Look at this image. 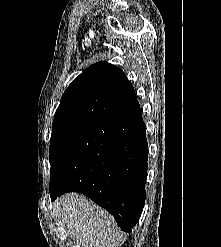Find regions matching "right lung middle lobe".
Wrapping results in <instances>:
<instances>
[{"instance_id":"right-lung-middle-lobe-1","label":"right lung middle lobe","mask_w":221,"mask_h":247,"mask_svg":"<svg viewBox=\"0 0 221 247\" xmlns=\"http://www.w3.org/2000/svg\"><path fill=\"white\" fill-rule=\"evenodd\" d=\"M87 129L84 126H66L52 130L49 150L51 169L64 149Z\"/></svg>"}]
</instances>
